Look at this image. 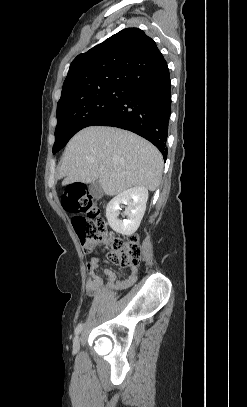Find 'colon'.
Wrapping results in <instances>:
<instances>
[{"label":"colon","mask_w":247,"mask_h":407,"mask_svg":"<svg viewBox=\"0 0 247 407\" xmlns=\"http://www.w3.org/2000/svg\"><path fill=\"white\" fill-rule=\"evenodd\" d=\"M64 210L74 217L73 228L85 252L93 251L100 243L107 242L109 261L120 267L136 266L141 260V247L137 235L127 240L111 237L102 218L98 201L80 184L68 186L62 199Z\"/></svg>","instance_id":"colon-1"}]
</instances>
